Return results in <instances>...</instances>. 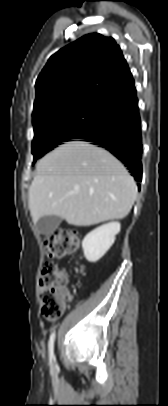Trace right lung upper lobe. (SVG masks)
I'll return each mask as SVG.
<instances>
[{"label": "right lung upper lobe", "instance_id": "cb5924a9", "mask_svg": "<svg viewBox=\"0 0 168 406\" xmlns=\"http://www.w3.org/2000/svg\"><path fill=\"white\" fill-rule=\"evenodd\" d=\"M134 85L120 47L92 33L50 57L35 84L33 123L83 100H106Z\"/></svg>", "mask_w": 168, "mask_h": 406}]
</instances>
